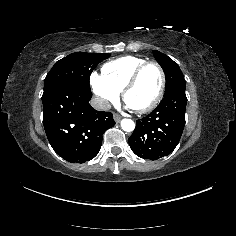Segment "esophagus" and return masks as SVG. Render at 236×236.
I'll return each instance as SVG.
<instances>
[{
    "instance_id": "1",
    "label": "esophagus",
    "mask_w": 236,
    "mask_h": 236,
    "mask_svg": "<svg viewBox=\"0 0 236 236\" xmlns=\"http://www.w3.org/2000/svg\"><path fill=\"white\" fill-rule=\"evenodd\" d=\"M113 118H114V120H115V122H119L120 120H121V116L120 115H118V114H115L114 116H113Z\"/></svg>"
}]
</instances>
